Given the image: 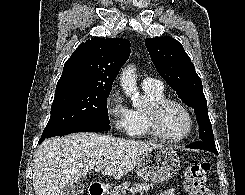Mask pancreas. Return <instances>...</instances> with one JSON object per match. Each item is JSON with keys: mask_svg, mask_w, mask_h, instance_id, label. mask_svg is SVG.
Listing matches in <instances>:
<instances>
[{"mask_svg": "<svg viewBox=\"0 0 245 195\" xmlns=\"http://www.w3.org/2000/svg\"><path fill=\"white\" fill-rule=\"evenodd\" d=\"M138 188L140 190V195H143L144 192H148L152 185L141 182V183H128L125 182L120 186L115 187L112 191L109 192L108 195H126L129 191V188Z\"/></svg>", "mask_w": 245, "mask_h": 195, "instance_id": "obj_1", "label": "pancreas"}]
</instances>
